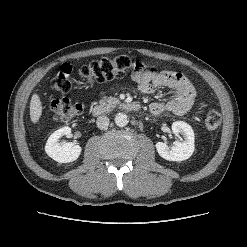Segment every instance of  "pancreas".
<instances>
[{
  "instance_id": "1",
  "label": "pancreas",
  "mask_w": 247,
  "mask_h": 247,
  "mask_svg": "<svg viewBox=\"0 0 247 247\" xmlns=\"http://www.w3.org/2000/svg\"><path fill=\"white\" fill-rule=\"evenodd\" d=\"M99 103H100V105H102V106L113 107V106H115L116 104H119L120 101H119V99L116 98V97H112V96L107 97V96H105V97H103L102 100H100Z\"/></svg>"
}]
</instances>
